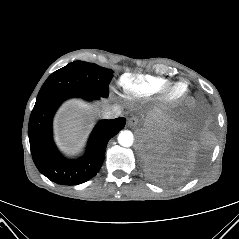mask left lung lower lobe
<instances>
[{
	"label": "left lung lower lobe",
	"mask_w": 239,
	"mask_h": 239,
	"mask_svg": "<svg viewBox=\"0 0 239 239\" xmlns=\"http://www.w3.org/2000/svg\"><path fill=\"white\" fill-rule=\"evenodd\" d=\"M206 116L207 112L196 105L182 114L175 129H161L143 139L141 155L150 178L176 183L195 170L200 159L196 141Z\"/></svg>",
	"instance_id": "obj_1"
}]
</instances>
